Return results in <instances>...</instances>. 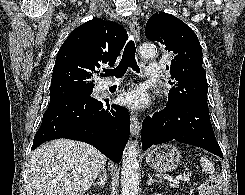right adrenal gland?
<instances>
[{
  "mask_svg": "<svg viewBox=\"0 0 245 195\" xmlns=\"http://www.w3.org/2000/svg\"><path fill=\"white\" fill-rule=\"evenodd\" d=\"M107 180V174L106 171L103 170V173L99 175V180L96 182H93V186H99L100 188H104Z\"/></svg>",
  "mask_w": 245,
  "mask_h": 195,
  "instance_id": "obj_1",
  "label": "right adrenal gland"
}]
</instances>
